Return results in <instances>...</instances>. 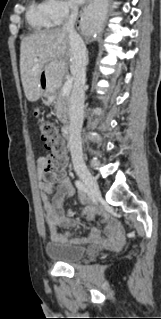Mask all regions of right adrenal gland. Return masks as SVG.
Masks as SVG:
<instances>
[{
	"label": "right adrenal gland",
	"instance_id": "obj_1",
	"mask_svg": "<svg viewBox=\"0 0 161 319\" xmlns=\"http://www.w3.org/2000/svg\"><path fill=\"white\" fill-rule=\"evenodd\" d=\"M89 63V58L87 57V64Z\"/></svg>",
	"mask_w": 161,
	"mask_h": 319
}]
</instances>
